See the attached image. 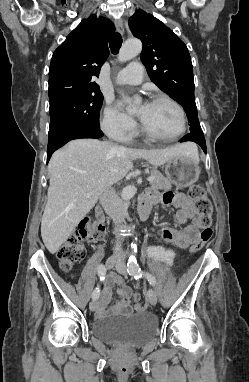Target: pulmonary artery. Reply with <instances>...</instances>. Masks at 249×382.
<instances>
[{
	"label": "pulmonary artery",
	"instance_id": "obj_1",
	"mask_svg": "<svg viewBox=\"0 0 249 382\" xmlns=\"http://www.w3.org/2000/svg\"><path fill=\"white\" fill-rule=\"evenodd\" d=\"M143 75V65L140 62H131L118 73L116 83L120 85H137L142 82Z\"/></svg>",
	"mask_w": 249,
	"mask_h": 382
}]
</instances>
